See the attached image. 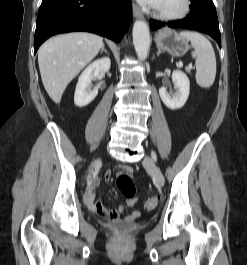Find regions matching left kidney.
Wrapping results in <instances>:
<instances>
[{
  "label": "left kidney",
  "mask_w": 247,
  "mask_h": 265,
  "mask_svg": "<svg viewBox=\"0 0 247 265\" xmlns=\"http://www.w3.org/2000/svg\"><path fill=\"white\" fill-rule=\"evenodd\" d=\"M172 81L178 88L175 96L172 97L164 87H161L159 89V95L163 103L169 109L176 110L182 108L188 99L190 91V81L186 74H184L182 71H173Z\"/></svg>",
  "instance_id": "obj_1"
}]
</instances>
